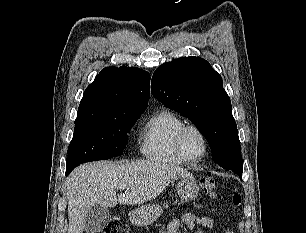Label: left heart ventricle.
Listing matches in <instances>:
<instances>
[{
    "mask_svg": "<svg viewBox=\"0 0 306 233\" xmlns=\"http://www.w3.org/2000/svg\"><path fill=\"white\" fill-rule=\"evenodd\" d=\"M183 148L189 158H197L203 152V141L194 130H189L183 137Z\"/></svg>",
    "mask_w": 306,
    "mask_h": 233,
    "instance_id": "1",
    "label": "left heart ventricle"
}]
</instances>
